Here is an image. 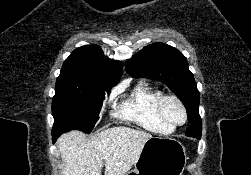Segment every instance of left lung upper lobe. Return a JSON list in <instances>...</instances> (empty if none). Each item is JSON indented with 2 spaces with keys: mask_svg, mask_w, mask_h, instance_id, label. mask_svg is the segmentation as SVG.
Returning a JSON list of instances; mask_svg holds the SVG:
<instances>
[{
  "mask_svg": "<svg viewBox=\"0 0 251 175\" xmlns=\"http://www.w3.org/2000/svg\"><path fill=\"white\" fill-rule=\"evenodd\" d=\"M126 71L134 78H150L167 85L192 114L186 135L201 138L199 91L187 59L179 50L164 43L150 44L126 61Z\"/></svg>",
  "mask_w": 251,
  "mask_h": 175,
  "instance_id": "1",
  "label": "left lung upper lobe"
}]
</instances>
